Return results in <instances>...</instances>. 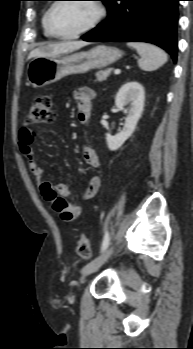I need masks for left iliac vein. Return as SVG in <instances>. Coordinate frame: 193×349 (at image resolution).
Returning <instances> with one entry per match:
<instances>
[{"instance_id": "4c4485c4", "label": "left iliac vein", "mask_w": 193, "mask_h": 349, "mask_svg": "<svg viewBox=\"0 0 193 349\" xmlns=\"http://www.w3.org/2000/svg\"><path fill=\"white\" fill-rule=\"evenodd\" d=\"M113 252V245L107 248L99 257L94 259L92 262L88 263L83 269V275H89L95 271H97L107 260L110 258Z\"/></svg>"}]
</instances>
